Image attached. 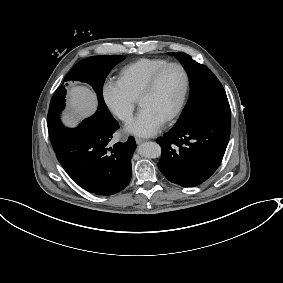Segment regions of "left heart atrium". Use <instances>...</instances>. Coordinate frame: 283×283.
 I'll return each instance as SVG.
<instances>
[{"instance_id":"obj_1","label":"left heart atrium","mask_w":283,"mask_h":283,"mask_svg":"<svg viewBox=\"0 0 283 283\" xmlns=\"http://www.w3.org/2000/svg\"><path fill=\"white\" fill-rule=\"evenodd\" d=\"M164 120L147 108H140L137 116L126 126L125 131L138 136L155 134Z\"/></svg>"}]
</instances>
